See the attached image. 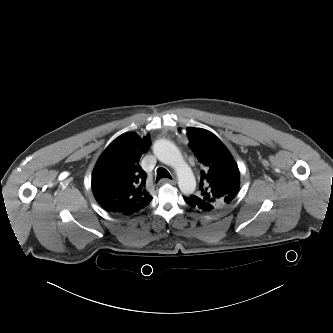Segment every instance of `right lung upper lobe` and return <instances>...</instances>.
I'll use <instances>...</instances> for the list:
<instances>
[{
	"label": "right lung upper lobe",
	"mask_w": 333,
	"mask_h": 333,
	"mask_svg": "<svg viewBox=\"0 0 333 333\" xmlns=\"http://www.w3.org/2000/svg\"><path fill=\"white\" fill-rule=\"evenodd\" d=\"M150 135L135 133L117 137L102 153L92 174V190L107 212L131 215L152 200L146 189V173L139 159L150 148Z\"/></svg>",
	"instance_id": "1"
}]
</instances>
